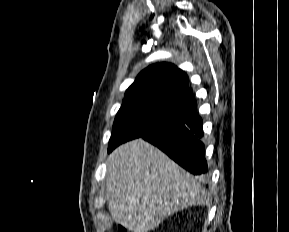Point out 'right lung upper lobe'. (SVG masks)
I'll return each mask as SVG.
<instances>
[{
	"label": "right lung upper lobe",
	"mask_w": 289,
	"mask_h": 232,
	"mask_svg": "<svg viewBox=\"0 0 289 232\" xmlns=\"http://www.w3.org/2000/svg\"><path fill=\"white\" fill-rule=\"evenodd\" d=\"M124 100L146 101L183 113L196 110L187 75L170 63H157L140 72Z\"/></svg>",
	"instance_id": "1"
}]
</instances>
